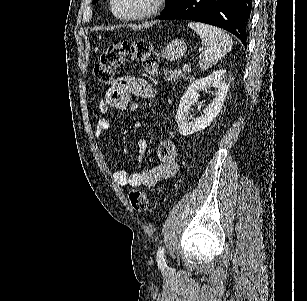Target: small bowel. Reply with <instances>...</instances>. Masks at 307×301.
Listing matches in <instances>:
<instances>
[{
  "label": "small bowel",
  "mask_w": 307,
  "mask_h": 301,
  "mask_svg": "<svg viewBox=\"0 0 307 301\" xmlns=\"http://www.w3.org/2000/svg\"><path fill=\"white\" fill-rule=\"evenodd\" d=\"M156 91L152 85L142 78L135 76H122L117 78L107 90L104 98L99 103V111L106 114L110 108L129 110L137 108L133 98L151 99ZM110 123L106 118H100L96 124L95 135L102 139L109 130ZM138 159L143 160L147 152L145 140H138L136 144ZM177 147L172 140H163L158 147L160 164L142 172L128 173L122 168H117L113 179L119 186H145L153 187L174 176L178 171Z\"/></svg>",
  "instance_id": "1"
}]
</instances>
